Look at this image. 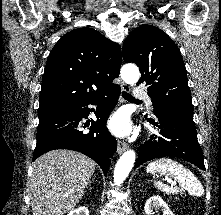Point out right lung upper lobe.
<instances>
[{"instance_id":"obj_1","label":"right lung upper lobe","mask_w":221,"mask_h":215,"mask_svg":"<svg viewBox=\"0 0 221 215\" xmlns=\"http://www.w3.org/2000/svg\"><path fill=\"white\" fill-rule=\"evenodd\" d=\"M121 61V47L95 29L66 33L48 56L38 116L64 112L114 87Z\"/></svg>"}]
</instances>
